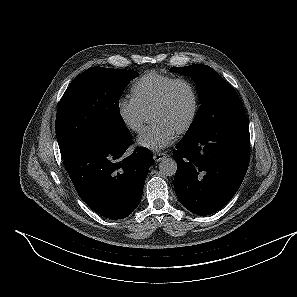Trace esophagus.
Wrapping results in <instances>:
<instances>
[{
  "label": "esophagus",
  "mask_w": 297,
  "mask_h": 297,
  "mask_svg": "<svg viewBox=\"0 0 297 297\" xmlns=\"http://www.w3.org/2000/svg\"><path fill=\"white\" fill-rule=\"evenodd\" d=\"M166 157V154L163 152L160 153H156L154 154L153 158L155 162H160L161 160H163Z\"/></svg>",
  "instance_id": "34e87169"
}]
</instances>
